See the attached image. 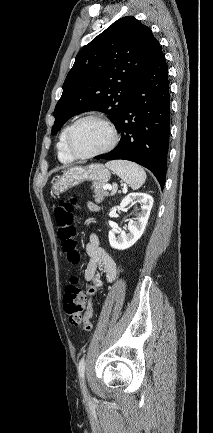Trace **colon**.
<instances>
[{
	"label": "colon",
	"instance_id": "1",
	"mask_svg": "<svg viewBox=\"0 0 213 433\" xmlns=\"http://www.w3.org/2000/svg\"><path fill=\"white\" fill-rule=\"evenodd\" d=\"M77 204L75 198L60 200L54 210L55 221L58 226V237L68 260L78 265L81 254L78 251L77 232L73 226V211ZM87 297L78 276L70 278L63 294V308L72 325H82L84 330L91 331L92 324L86 317Z\"/></svg>",
	"mask_w": 213,
	"mask_h": 433
}]
</instances>
